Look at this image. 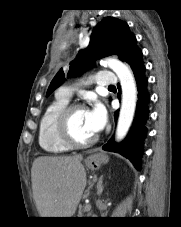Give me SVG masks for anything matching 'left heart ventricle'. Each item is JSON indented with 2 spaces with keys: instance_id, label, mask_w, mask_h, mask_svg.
Here are the masks:
<instances>
[{
  "instance_id": "1",
  "label": "left heart ventricle",
  "mask_w": 181,
  "mask_h": 227,
  "mask_svg": "<svg viewBox=\"0 0 181 227\" xmlns=\"http://www.w3.org/2000/svg\"><path fill=\"white\" fill-rule=\"evenodd\" d=\"M71 130L73 135L79 140H86L95 135L90 126L87 110H77L71 119Z\"/></svg>"
}]
</instances>
